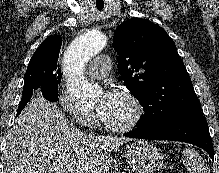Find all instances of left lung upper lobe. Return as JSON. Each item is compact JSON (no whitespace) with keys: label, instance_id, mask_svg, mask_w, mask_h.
Segmentation results:
<instances>
[{"label":"left lung upper lobe","instance_id":"left-lung-upper-lobe-1","mask_svg":"<svg viewBox=\"0 0 219 173\" xmlns=\"http://www.w3.org/2000/svg\"><path fill=\"white\" fill-rule=\"evenodd\" d=\"M113 46L121 78L146 112L137 128L155 130L179 116L201 111L175 43L161 27L132 18L116 29Z\"/></svg>","mask_w":219,"mask_h":173}]
</instances>
